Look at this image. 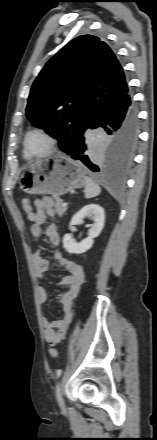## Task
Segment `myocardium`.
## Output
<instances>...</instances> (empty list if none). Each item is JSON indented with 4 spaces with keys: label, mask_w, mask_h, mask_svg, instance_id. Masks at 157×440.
<instances>
[{
    "label": "myocardium",
    "mask_w": 157,
    "mask_h": 440,
    "mask_svg": "<svg viewBox=\"0 0 157 440\" xmlns=\"http://www.w3.org/2000/svg\"><path fill=\"white\" fill-rule=\"evenodd\" d=\"M33 133H39L48 140V149L46 150V152L38 155L30 154L27 147V141H28V137ZM56 147H57V138L48 129L44 127H34L28 130L23 139V149L27 156H37V157L46 156L51 154L56 149Z\"/></svg>",
    "instance_id": "1"
}]
</instances>
